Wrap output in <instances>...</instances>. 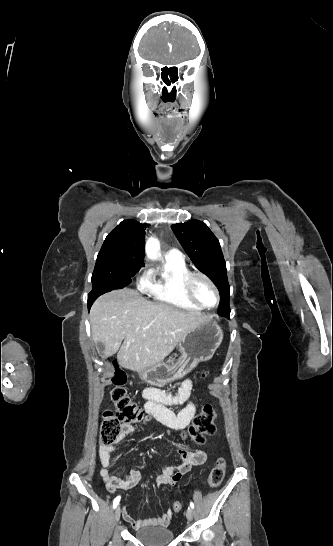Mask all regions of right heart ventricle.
<instances>
[{
	"instance_id": "right-heart-ventricle-1",
	"label": "right heart ventricle",
	"mask_w": 333,
	"mask_h": 546,
	"mask_svg": "<svg viewBox=\"0 0 333 546\" xmlns=\"http://www.w3.org/2000/svg\"><path fill=\"white\" fill-rule=\"evenodd\" d=\"M189 272L184 259H165L155 280L153 297L156 302L186 311L199 312L203 309L192 303L184 294L182 279Z\"/></svg>"
}]
</instances>
